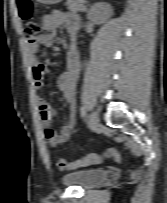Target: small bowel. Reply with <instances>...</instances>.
<instances>
[{
	"instance_id": "c3829d8e",
	"label": "small bowel",
	"mask_w": 167,
	"mask_h": 203,
	"mask_svg": "<svg viewBox=\"0 0 167 203\" xmlns=\"http://www.w3.org/2000/svg\"><path fill=\"white\" fill-rule=\"evenodd\" d=\"M80 19L72 13L54 11L42 19L45 34L26 40L28 56L32 67V79L36 89L43 87L44 79L50 74V68L38 59L41 46L51 45L55 32L63 28L69 38L66 61L67 71L59 75L57 80L65 101L69 105L68 112L63 117V125L59 132L50 127L55 115V109L43 98L37 99V109L43 125V137L50 147L65 144L76 126V85L81 72V60L76 46Z\"/></svg>"
}]
</instances>
